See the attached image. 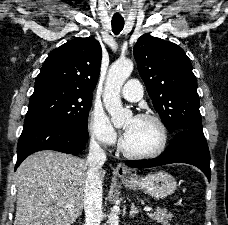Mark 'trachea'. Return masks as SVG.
Returning a JSON list of instances; mask_svg holds the SVG:
<instances>
[{"instance_id":"trachea-1","label":"trachea","mask_w":228,"mask_h":225,"mask_svg":"<svg viewBox=\"0 0 228 225\" xmlns=\"http://www.w3.org/2000/svg\"><path fill=\"white\" fill-rule=\"evenodd\" d=\"M124 27V19L123 18H113L112 19V30L117 35L121 32Z\"/></svg>"}]
</instances>
